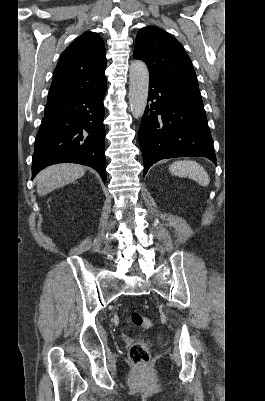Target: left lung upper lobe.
<instances>
[{"instance_id":"obj_1","label":"left lung upper lobe","mask_w":265,"mask_h":401,"mask_svg":"<svg viewBox=\"0 0 265 401\" xmlns=\"http://www.w3.org/2000/svg\"><path fill=\"white\" fill-rule=\"evenodd\" d=\"M133 57L147 64L150 79L198 88L192 62L183 46L158 27L147 26L138 32Z\"/></svg>"}]
</instances>
